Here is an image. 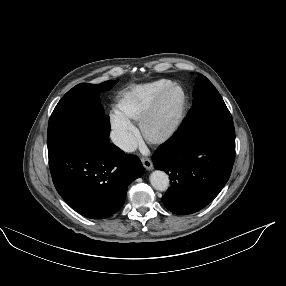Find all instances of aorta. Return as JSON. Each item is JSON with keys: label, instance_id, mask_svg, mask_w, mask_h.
<instances>
[{"label": "aorta", "instance_id": "aorta-1", "mask_svg": "<svg viewBox=\"0 0 286 286\" xmlns=\"http://www.w3.org/2000/svg\"><path fill=\"white\" fill-rule=\"evenodd\" d=\"M150 183L154 189L166 191L169 187V177L165 172L156 170L150 175Z\"/></svg>", "mask_w": 286, "mask_h": 286}]
</instances>
